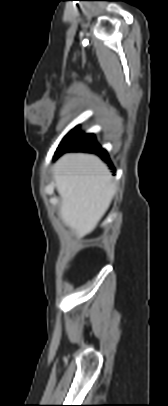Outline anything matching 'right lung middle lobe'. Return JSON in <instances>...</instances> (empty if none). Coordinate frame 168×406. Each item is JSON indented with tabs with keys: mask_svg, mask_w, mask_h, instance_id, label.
Listing matches in <instances>:
<instances>
[{
	"mask_svg": "<svg viewBox=\"0 0 168 406\" xmlns=\"http://www.w3.org/2000/svg\"><path fill=\"white\" fill-rule=\"evenodd\" d=\"M79 126L75 127L73 130H71L65 137L64 139L61 141L55 156L60 153L62 150H64L65 148H67L68 146L77 143L79 141H82L90 136H92V134H84L78 131Z\"/></svg>",
	"mask_w": 168,
	"mask_h": 406,
	"instance_id": "dd1d6c3e",
	"label": "right lung middle lobe"
}]
</instances>
